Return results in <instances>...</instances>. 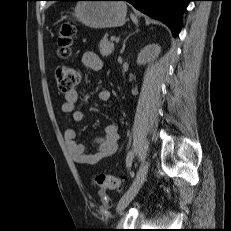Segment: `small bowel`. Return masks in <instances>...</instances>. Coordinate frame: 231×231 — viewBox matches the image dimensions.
<instances>
[{
	"instance_id": "1",
	"label": "small bowel",
	"mask_w": 231,
	"mask_h": 231,
	"mask_svg": "<svg viewBox=\"0 0 231 231\" xmlns=\"http://www.w3.org/2000/svg\"><path fill=\"white\" fill-rule=\"evenodd\" d=\"M82 63L85 67L94 71H100L104 67L102 59L93 52H85L82 56ZM109 99V91H100V101L107 102ZM78 100V92L73 89L65 93V101L60 107L63 113L72 114L75 122H81L84 119V113L76 109ZM63 137L70 156L81 164H95L112 156L119 148L120 135L118 126L114 123L106 125L104 127V134L92 140V143L97 147L94 152H88L85 144L76 141V131L72 128L66 129Z\"/></svg>"
}]
</instances>
